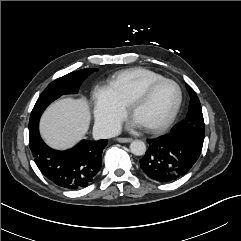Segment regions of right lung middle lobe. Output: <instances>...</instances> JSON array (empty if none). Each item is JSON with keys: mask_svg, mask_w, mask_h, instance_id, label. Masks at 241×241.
I'll use <instances>...</instances> for the list:
<instances>
[{"mask_svg": "<svg viewBox=\"0 0 241 241\" xmlns=\"http://www.w3.org/2000/svg\"><path fill=\"white\" fill-rule=\"evenodd\" d=\"M97 69H82L69 73L51 82L39 96L30 116L29 127L39 122L41 114L46 107L64 94H75L78 92L82 82Z\"/></svg>", "mask_w": 241, "mask_h": 241, "instance_id": "right-lung-middle-lobe-1", "label": "right lung middle lobe"}]
</instances>
